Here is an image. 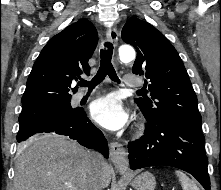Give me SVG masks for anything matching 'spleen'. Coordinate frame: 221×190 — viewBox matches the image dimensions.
<instances>
[{
    "instance_id": "1",
    "label": "spleen",
    "mask_w": 221,
    "mask_h": 190,
    "mask_svg": "<svg viewBox=\"0 0 221 190\" xmlns=\"http://www.w3.org/2000/svg\"><path fill=\"white\" fill-rule=\"evenodd\" d=\"M176 176L178 177L183 190H200L193 180H191L186 174L182 171H175Z\"/></svg>"
}]
</instances>
